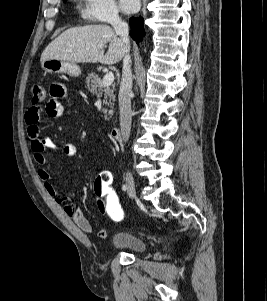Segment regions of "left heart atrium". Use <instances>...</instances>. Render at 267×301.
<instances>
[{
  "mask_svg": "<svg viewBox=\"0 0 267 301\" xmlns=\"http://www.w3.org/2000/svg\"><path fill=\"white\" fill-rule=\"evenodd\" d=\"M120 7L125 13H133L139 7V0H119Z\"/></svg>",
  "mask_w": 267,
  "mask_h": 301,
  "instance_id": "1",
  "label": "left heart atrium"
}]
</instances>
